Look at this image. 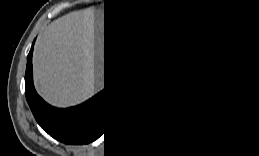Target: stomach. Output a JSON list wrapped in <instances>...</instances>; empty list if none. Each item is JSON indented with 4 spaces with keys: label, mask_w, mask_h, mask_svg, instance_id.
<instances>
[{
    "label": "stomach",
    "mask_w": 259,
    "mask_h": 156,
    "mask_svg": "<svg viewBox=\"0 0 259 156\" xmlns=\"http://www.w3.org/2000/svg\"><path fill=\"white\" fill-rule=\"evenodd\" d=\"M168 70H170V72L172 73L173 77L177 80H180L183 78L184 76V73H183V70L178 67V66H173V65H170Z\"/></svg>",
    "instance_id": "obj_1"
}]
</instances>
